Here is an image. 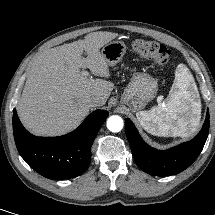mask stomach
<instances>
[{"label": "stomach", "instance_id": "0dacf381", "mask_svg": "<svg viewBox=\"0 0 215 215\" xmlns=\"http://www.w3.org/2000/svg\"><path fill=\"white\" fill-rule=\"evenodd\" d=\"M126 49L124 42L112 41L103 46L101 53L108 65L114 66L123 58ZM157 89V81L148 73H134L121 96V103L133 112L139 111L155 97Z\"/></svg>", "mask_w": 215, "mask_h": 215}]
</instances>
